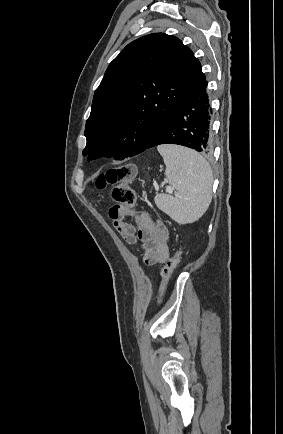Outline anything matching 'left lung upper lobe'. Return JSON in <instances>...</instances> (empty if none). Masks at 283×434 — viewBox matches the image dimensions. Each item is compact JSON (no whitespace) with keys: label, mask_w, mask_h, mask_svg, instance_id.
I'll return each instance as SVG.
<instances>
[{"label":"left lung upper lobe","mask_w":283,"mask_h":434,"mask_svg":"<svg viewBox=\"0 0 283 434\" xmlns=\"http://www.w3.org/2000/svg\"><path fill=\"white\" fill-rule=\"evenodd\" d=\"M205 78L177 37L153 33L131 42L95 91L83 155L123 160L143 152L177 102Z\"/></svg>","instance_id":"left-lung-upper-lobe-1"}]
</instances>
